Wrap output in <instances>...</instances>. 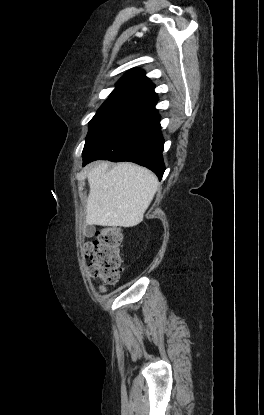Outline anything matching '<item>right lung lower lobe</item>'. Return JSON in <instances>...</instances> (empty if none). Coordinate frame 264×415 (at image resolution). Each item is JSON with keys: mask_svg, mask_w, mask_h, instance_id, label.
Returning a JSON list of instances; mask_svg holds the SVG:
<instances>
[{"mask_svg": "<svg viewBox=\"0 0 264 415\" xmlns=\"http://www.w3.org/2000/svg\"><path fill=\"white\" fill-rule=\"evenodd\" d=\"M156 103V97L143 101L116 121L83 150V165L98 159L130 161L149 168L161 179L165 171L164 139Z\"/></svg>", "mask_w": 264, "mask_h": 415, "instance_id": "1", "label": "right lung lower lobe"}]
</instances>
